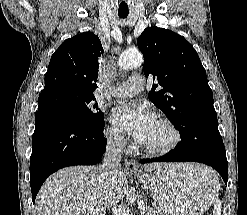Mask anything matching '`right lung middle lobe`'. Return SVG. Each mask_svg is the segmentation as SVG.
Instances as JSON below:
<instances>
[{
  "mask_svg": "<svg viewBox=\"0 0 247 215\" xmlns=\"http://www.w3.org/2000/svg\"><path fill=\"white\" fill-rule=\"evenodd\" d=\"M94 95L84 94L68 88L43 90L38 98V110H49L71 117L92 126L104 123L101 111H98Z\"/></svg>",
  "mask_w": 247,
  "mask_h": 215,
  "instance_id": "right-lung-middle-lobe-1",
  "label": "right lung middle lobe"
}]
</instances>
